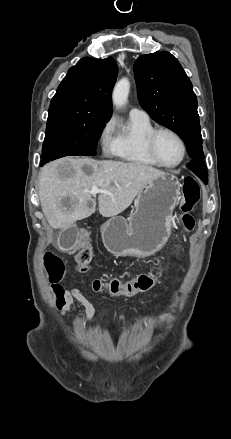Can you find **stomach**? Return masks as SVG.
Instances as JSON below:
<instances>
[{
  "instance_id": "1",
  "label": "stomach",
  "mask_w": 231,
  "mask_h": 439,
  "mask_svg": "<svg viewBox=\"0 0 231 439\" xmlns=\"http://www.w3.org/2000/svg\"><path fill=\"white\" fill-rule=\"evenodd\" d=\"M178 178L164 173L151 180L135 199L126 220L110 218L101 227L104 246L117 256L146 258L159 251L171 234L173 211L180 198Z\"/></svg>"
}]
</instances>
